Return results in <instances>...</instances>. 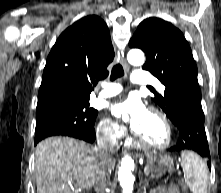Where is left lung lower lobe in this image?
<instances>
[{
  "label": "left lung lower lobe",
  "mask_w": 221,
  "mask_h": 193,
  "mask_svg": "<svg viewBox=\"0 0 221 193\" xmlns=\"http://www.w3.org/2000/svg\"><path fill=\"white\" fill-rule=\"evenodd\" d=\"M179 120L180 123L176 126L180 132V137L177 144L170 148V151L190 150L203 158L210 159L201 99L192 98L183 102L182 108L179 109ZM207 164L211 168L209 161Z\"/></svg>",
  "instance_id": "1"
}]
</instances>
